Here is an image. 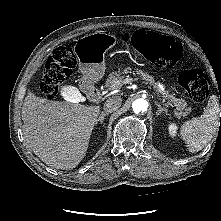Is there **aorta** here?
<instances>
[{"instance_id": "obj_1", "label": "aorta", "mask_w": 221, "mask_h": 221, "mask_svg": "<svg viewBox=\"0 0 221 221\" xmlns=\"http://www.w3.org/2000/svg\"><path fill=\"white\" fill-rule=\"evenodd\" d=\"M132 108H133V111L137 114L141 113V112H144L148 108V102L145 99H142V98L136 99L132 103Z\"/></svg>"}]
</instances>
